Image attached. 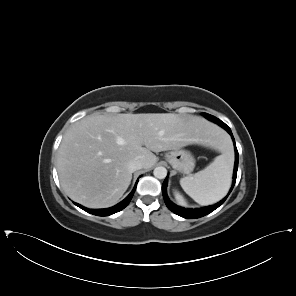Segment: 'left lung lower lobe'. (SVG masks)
<instances>
[{"label":"left lung lower lobe","instance_id":"obj_1","mask_svg":"<svg viewBox=\"0 0 296 296\" xmlns=\"http://www.w3.org/2000/svg\"><path fill=\"white\" fill-rule=\"evenodd\" d=\"M218 124L229 132V134L232 136L234 146H235V165H234V172H233V184H232V187L230 189V192H231L234 185H235V182H236L239 155H238L235 140H234V137L232 135V132H231L230 128L226 124H222V123H218ZM167 182H168V176L166 177V179L164 180L163 185H162V193H163L164 201H165L167 207L172 212H174L175 214H177V215H179L181 217H184V218L194 219V218H200L202 216H205V215L211 213L212 211H214L215 209H217L227 199V196H226L219 203H217L215 205L208 206V207H203V208H199V209H185V208H182L180 206L175 205L174 203H172L169 200V198L167 196V190H166Z\"/></svg>","mask_w":296,"mask_h":296}]
</instances>
